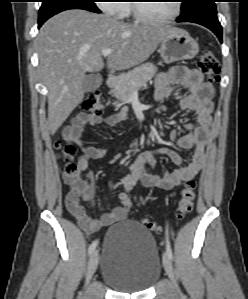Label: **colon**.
Instances as JSON below:
<instances>
[{
    "label": "colon",
    "mask_w": 248,
    "mask_h": 299,
    "mask_svg": "<svg viewBox=\"0 0 248 299\" xmlns=\"http://www.w3.org/2000/svg\"><path fill=\"white\" fill-rule=\"evenodd\" d=\"M199 68L207 77L209 82H216L220 79V65L211 50L205 49L200 53ZM81 109L84 112L100 115L104 106L101 95L98 91H93L81 103ZM62 160L61 171L66 185L69 187L66 195V206L73 215H82L84 213L81 205V197L84 185L78 176V166L74 162L76 153V143L64 142L59 139L55 144ZM196 182L193 179L188 180L181 191L180 199L176 208V219L178 221L186 218L192 211L196 197ZM131 206V201L126 199L122 203L123 212L127 213ZM143 224L149 230L160 231V227L153 221L143 220Z\"/></svg>",
    "instance_id": "1"
}]
</instances>
